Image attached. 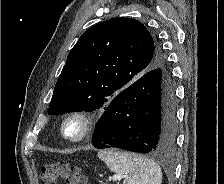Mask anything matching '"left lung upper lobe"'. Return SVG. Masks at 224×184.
Returning a JSON list of instances; mask_svg holds the SVG:
<instances>
[{"instance_id":"5c2ea615","label":"left lung upper lobe","mask_w":224,"mask_h":184,"mask_svg":"<svg viewBox=\"0 0 224 184\" xmlns=\"http://www.w3.org/2000/svg\"><path fill=\"white\" fill-rule=\"evenodd\" d=\"M155 68H166L165 58L141 22L118 17L96 24L68 54L48 114L106 109L116 95Z\"/></svg>"}]
</instances>
